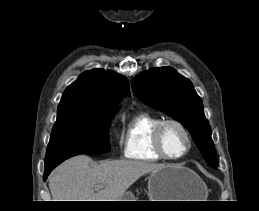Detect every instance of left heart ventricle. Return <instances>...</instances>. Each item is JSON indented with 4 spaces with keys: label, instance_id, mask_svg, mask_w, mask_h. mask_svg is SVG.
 I'll list each match as a JSON object with an SVG mask.
<instances>
[{
    "label": "left heart ventricle",
    "instance_id": "b2bd125f",
    "mask_svg": "<svg viewBox=\"0 0 259 211\" xmlns=\"http://www.w3.org/2000/svg\"><path fill=\"white\" fill-rule=\"evenodd\" d=\"M163 144L170 156H178L185 150L187 141L177 126L168 125L163 131Z\"/></svg>",
    "mask_w": 259,
    "mask_h": 211
}]
</instances>
